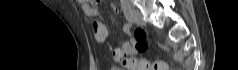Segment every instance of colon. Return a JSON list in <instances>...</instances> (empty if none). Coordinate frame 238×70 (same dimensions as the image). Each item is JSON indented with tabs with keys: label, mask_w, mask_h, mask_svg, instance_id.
<instances>
[{
	"label": "colon",
	"mask_w": 238,
	"mask_h": 70,
	"mask_svg": "<svg viewBox=\"0 0 238 70\" xmlns=\"http://www.w3.org/2000/svg\"><path fill=\"white\" fill-rule=\"evenodd\" d=\"M135 47L138 51H144L147 48L146 32L143 29H136L133 33ZM114 59H123L122 64L128 70H166L168 63L150 62L147 59L129 58L128 54H122L119 45L115 47Z\"/></svg>",
	"instance_id": "1"
}]
</instances>
